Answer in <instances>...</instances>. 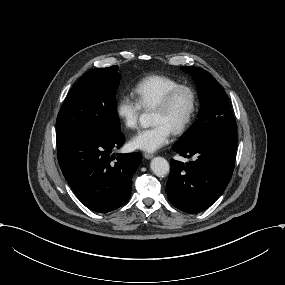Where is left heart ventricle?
<instances>
[{
    "instance_id": "left-heart-ventricle-1",
    "label": "left heart ventricle",
    "mask_w": 285,
    "mask_h": 285,
    "mask_svg": "<svg viewBox=\"0 0 285 285\" xmlns=\"http://www.w3.org/2000/svg\"><path fill=\"white\" fill-rule=\"evenodd\" d=\"M190 106V94L186 90L179 91L170 108L166 110L153 108L151 110V123L162 122L170 128L182 119L187 113Z\"/></svg>"
}]
</instances>
